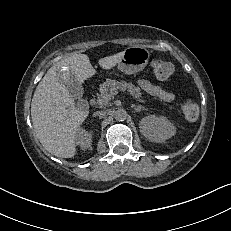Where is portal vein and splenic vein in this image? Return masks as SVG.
Listing matches in <instances>:
<instances>
[{"instance_id":"1","label":"portal vein and splenic vein","mask_w":231,"mask_h":231,"mask_svg":"<svg viewBox=\"0 0 231 231\" xmlns=\"http://www.w3.org/2000/svg\"><path fill=\"white\" fill-rule=\"evenodd\" d=\"M117 94H118V91H117V90H114V91H112V92L110 93V96H112V95H117ZM110 96H101V97H99L98 100H97V103L100 104V105H102V104H104V103H107L108 100L110 99Z\"/></svg>"}]
</instances>
